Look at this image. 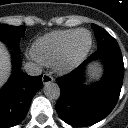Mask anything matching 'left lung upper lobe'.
<instances>
[{"label": "left lung upper lobe", "instance_id": "obj_1", "mask_svg": "<svg viewBox=\"0 0 128 128\" xmlns=\"http://www.w3.org/2000/svg\"><path fill=\"white\" fill-rule=\"evenodd\" d=\"M95 31L98 49L107 45L117 44L116 40L103 28L96 24L91 25Z\"/></svg>", "mask_w": 128, "mask_h": 128}]
</instances>
